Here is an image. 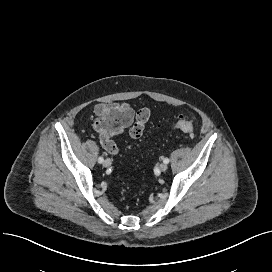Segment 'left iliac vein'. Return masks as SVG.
Segmentation results:
<instances>
[{"label":"left iliac vein","mask_w":272,"mask_h":272,"mask_svg":"<svg viewBox=\"0 0 272 272\" xmlns=\"http://www.w3.org/2000/svg\"><path fill=\"white\" fill-rule=\"evenodd\" d=\"M167 168H168V165H167L166 163H161V164L159 165V169H160V171H162V172H165V171L167 170Z\"/></svg>","instance_id":"obj_1"}]
</instances>
